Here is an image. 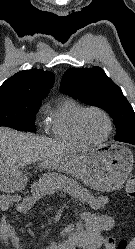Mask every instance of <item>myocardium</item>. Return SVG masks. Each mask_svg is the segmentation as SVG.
<instances>
[{"mask_svg": "<svg viewBox=\"0 0 135 249\" xmlns=\"http://www.w3.org/2000/svg\"><path fill=\"white\" fill-rule=\"evenodd\" d=\"M91 111H96V112L100 113L106 119V121L108 123V132L100 140H93V139L89 138L84 131L83 119L86 116V114L91 112ZM76 128H77V131L80 134V136L86 141V144H101L110 138L112 131H113V121H112L111 116L104 109H102L98 106H88V107H84L77 115Z\"/></svg>", "mask_w": 135, "mask_h": 249, "instance_id": "myocardium-1", "label": "myocardium"}]
</instances>
